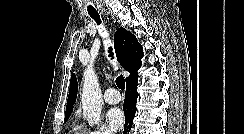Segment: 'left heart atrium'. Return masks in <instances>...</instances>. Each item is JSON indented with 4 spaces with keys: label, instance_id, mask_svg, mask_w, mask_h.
Here are the masks:
<instances>
[{
    "label": "left heart atrium",
    "instance_id": "39dd6f15",
    "mask_svg": "<svg viewBox=\"0 0 244 134\" xmlns=\"http://www.w3.org/2000/svg\"><path fill=\"white\" fill-rule=\"evenodd\" d=\"M106 118L110 128L114 131L121 129L125 121L123 112L118 108L110 109Z\"/></svg>",
    "mask_w": 244,
    "mask_h": 134
}]
</instances>
